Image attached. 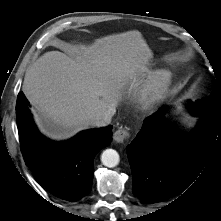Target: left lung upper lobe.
Instances as JSON below:
<instances>
[{
    "mask_svg": "<svg viewBox=\"0 0 221 221\" xmlns=\"http://www.w3.org/2000/svg\"><path fill=\"white\" fill-rule=\"evenodd\" d=\"M221 93L214 91L209 97L190 104V110L197 116L221 118Z\"/></svg>",
    "mask_w": 221,
    "mask_h": 221,
    "instance_id": "left-lung-upper-lobe-1",
    "label": "left lung upper lobe"
}]
</instances>
